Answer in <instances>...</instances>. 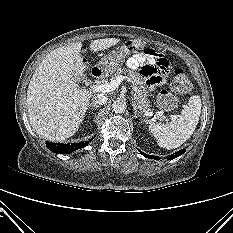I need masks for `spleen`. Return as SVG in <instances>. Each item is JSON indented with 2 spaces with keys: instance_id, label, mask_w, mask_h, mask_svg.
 <instances>
[{
  "instance_id": "obj_1",
  "label": "spleen",
  "mask_w": 233,
  "mask_h": 233,
  "mask_svg": "<svg viewBox=\"0 0 233 233\" xmlns=\"http://www.w3.org/2000/svg\"><path fill=\"white\" fill-rule=\"evenodd\" d=\"M201 106L200 96L193 95L184 105L178 120H173L168 124L151 123L149 130L157 139L158 145L167 149H175L185 143L195 131L201 114Z\"/></svg>"
}]
</instances>
